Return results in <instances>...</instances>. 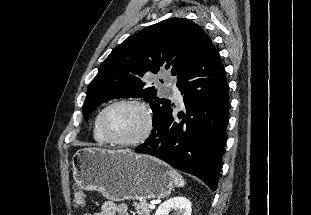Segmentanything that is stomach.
Segmentation results:
<instances>
[{
  "label": "stomach",
  "instance_id": "0dacf381",
  "mask_svg": "<svg viewBox=\"0 0 311 215\" xmlns=\"http://www.w3.org/2000/svg\"><path fill=\"white\" fill-rule=\"evenodd\" d=\"M71 164L78 186L114 201L162 199L174 188L166 163L127 150L83 148L73 155Z\"/></svg>",
  "mask_w": 311,
  "mask_h": 215
}]
</instances>
